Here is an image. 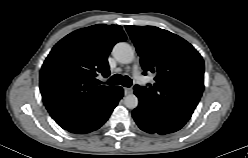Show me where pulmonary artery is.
Segmentation results:
<instances>
[{
    "label": "pulmonary artery",
    "instance_id": "obj_1",
    "mask_svg": "<svg viewBox=\"0 0 248 158\" xmlns=\"http://www.w3.org/2000/svg\"><path fill=\"white\" fill-rule=\"evenodd\" d=\"M133 76L136 82L144 85L146 84V79L143 77L138 67H135L133 71Z\"/></svg>",
    "mask_w": 248,
    "mask_h": 158
}]
</instances>
